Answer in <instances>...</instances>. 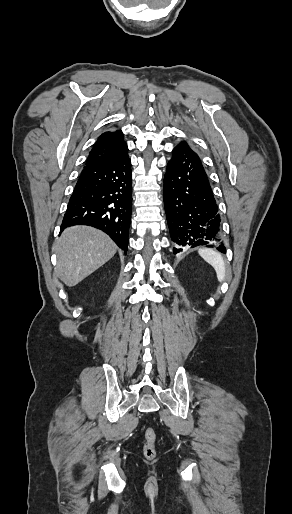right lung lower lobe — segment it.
<instances>
[{
  "instance_id": "1",
  "label": "right lung lower lobe",
  "mask_w": 292,
  "mask_h": 514,
  "mask_svg": "<svg viewBox=\"0 0 292 514\" xmlns=\"http://www.w3.org/2000/svg\"><path fill=\"white\" fill-rule=\"evenodd\" d=\"M132 212L131 160L125 156L102 165H85L61 225H88L107 233L124 251Z\"/></svg>"
}]
</instances>
